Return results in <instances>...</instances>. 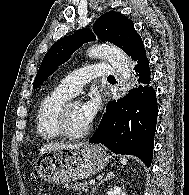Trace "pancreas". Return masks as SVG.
I'll return each instance as SVG.
<instances>
[{"label":"pancreas","mask_w":189,"mask_h":195,"mask_svg":"<svg viewBox=\"0 0 189 195\" xmlns=\"http://www.w3.org/2000/svg\"><path fill=\"white\" fill-rule=\"evenodd\" d=\"M67 190H73V191H77V190H81V189H88V185L87 182H83V183H74L71 185H66Z\"/></svg>","instance_id":"cf45deb5"}]
</instances>
